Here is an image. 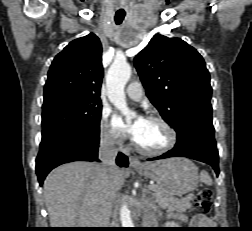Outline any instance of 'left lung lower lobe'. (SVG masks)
I'll use <instances>...</instances> for the list:
<instances>
[{"instance_id": "left-lung-lower-lobe-1", "label": "left lung lower lobe", "mask_w": 252, "mask_h": 231, "mask_svg": "<svg viewBox=\"0 0 252 231\" xmlns=\"http://www.w3.org/2000/svg\"><path fill=\"white\" fill-rule=\"evenodd\" d=\"M177 143L167 153L148 160L169 157H188L213 167L219 174L218 150L214 137L212 119L192 118L185 121L177 130Z\"/></svg>"}]
</instances>
